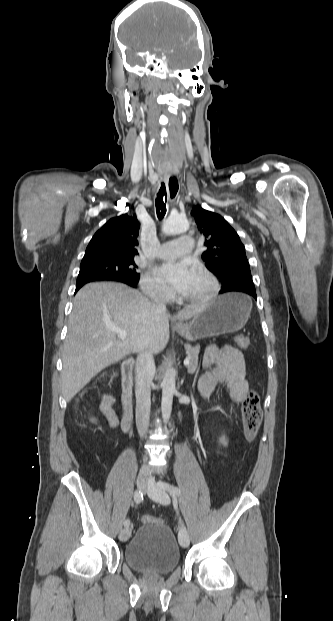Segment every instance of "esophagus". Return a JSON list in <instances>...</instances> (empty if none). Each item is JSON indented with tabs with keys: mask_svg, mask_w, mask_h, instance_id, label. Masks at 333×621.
<instances>
[{
	"mask_svg": "<svg viewBox=\"0 0 333 621\" xmlns=\"http://www.w3.org/2000/svg\"><path fill=\"white\" fill-rule=\"evenodd\" d=\"M179 180L180 178L177 172H173L171 175H169L168 177L164 179L167 193H168V200L170 202H173L178 195V183L177 182H179ZM176 325H179V324L176 323Z\"/></svg>",
	"mask_w": 333,
	"mask_h": 621,
	"instance_id": "esophagus-1",
	"label": "esophagus"
}]
</instances>
